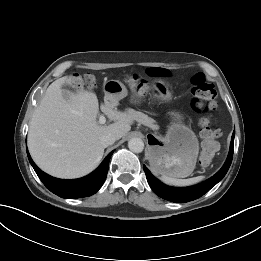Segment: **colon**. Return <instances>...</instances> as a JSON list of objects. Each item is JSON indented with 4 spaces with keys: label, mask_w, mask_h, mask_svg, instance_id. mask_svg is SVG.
<instances>
[{
    "label": "colon",
    "mask_w": 261,
    "mask_h": 261,
    "mask_svg": "<svg viewBox=\"0 0 261 261\" xmlns=\"http://www.w3.org/2000/svg\"><path fill=\"white\" fill-rule=\"evenodd\" d=\"M129 83H135L136 78L128 77ZM93 79L91 76H78L72 81L74 88L91 86ZM192 100L191 107L193 111L200 116L199 124L201 127V153L202 162L210 161L218 150L217 139L220 136V129L211 125L210 116L217 108L216 90L209 83L203 73H196L191 78Z\"/></svg>",
    "instance_id": "colon-1"
}]
</instances>
